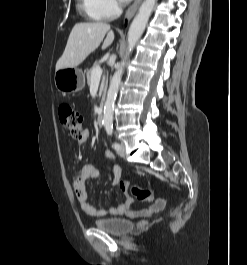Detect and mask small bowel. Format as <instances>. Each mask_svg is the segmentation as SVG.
Here are the masks:
<instances>
[{"label":"small bowel","mask_w":247,"mask_h":265,"mask_svg":"<svg viewBox=\"0 0 247 265\" xmlns=\"http://www.w3.org/2000/svg\"><path fill=\"white\" fill-rule=\"evenodd\" d=\"M89 132L84 131L82 137L79 139L80 143H85L88 140ZM104 156L108 159H114V155L111 151L106 150ZM112 178L111 184L117 185L121 178V169L118 165L112 166ZM99 172L97 168L92 164L83 165L79 171V175L73 183V189L78 199L80 208L91 216H105V215H127L131 218L148 217L154 213L160 212L164 208V201L162 199L156 200L149 208L139 211H131L133 200L130 197H126L121 204L115 207H110L107 210L99 209L93 206L88 200L87 183L90 180L97 179ZM122 182V181H121ZM120 182V184H121Z\"/></svg>","instance_id":"obj_1"}]
</instances>
